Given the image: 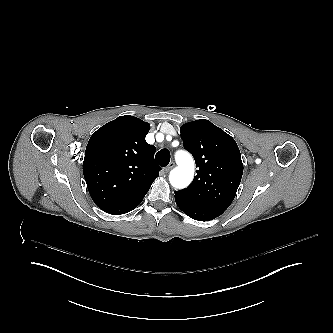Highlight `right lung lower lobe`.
I'll list each match as a JSON object with an SVG mask.
<instances>
[{
	"label": "right lung lower lobe",
	"instance_id": "98d812e1",
	"mask_svg": "<svg viewBox=\"0 0 333 333\" xmlns=\"http://www.w3.org/2000/svg\"><path fill=\"white\" fill-rule=\"evenodd\" d=\"M105 166L102 163H97L91 167L88 176H85L86 183L88 181L99 180L107 181L108 177L104 175ZM152 183H140L133 179L121 183L120 187H116L115 191L108 197L95 202V204L103 211L120 215L127 213L137 207L144 196L148 192Z\"/></svg>",
	"mask_w": 333,
	"mask_h": 333
}]
</instances>
